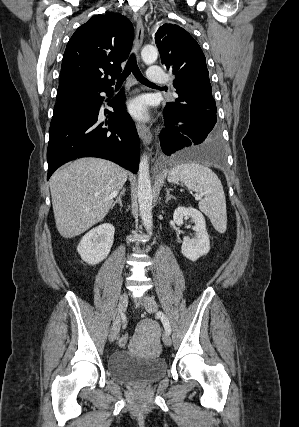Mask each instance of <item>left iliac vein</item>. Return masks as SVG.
I'll use <instances>...</instances> for the list:
<instances>
[{"mask_svg": "<svg viewBox=\"0 0 299 427\" xmlns=\"http://www.w3.org/2000/svg\"><path fill=\"white\" fill-rule=\"evenodd\" d=\"M143 302H144L146 310L149 313H155L157 311V309H158L157 303H156V301L152 297L145 296L143 298ZM162 339H163V342H164V344L166 346H170L171 345L170 334H168L167 332H164L163 336H162Z\"/></svg>", "mask_w": 299, "mask_h": 427, "instance_id": "1", "label": "left iliac vein"}]
</instances>
